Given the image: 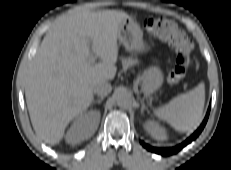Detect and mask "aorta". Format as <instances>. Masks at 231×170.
<instances>
[{"mask_svg": "<svg viewBox=\"0 0 231 170\" xmlns=\"http://www.w3.org/2000/svg\"><path fill=\"white\" fill-rule=\"evenodd\" d=\"M118 106L122 108H129L132 105L131 97L126 93H121L116 98Z\"/></svg>", "mask_w": 231, "mask_h": 170, "instance_id": "obj_1", "label": "aorta"}]
</instances>
